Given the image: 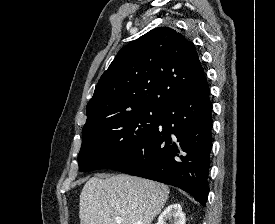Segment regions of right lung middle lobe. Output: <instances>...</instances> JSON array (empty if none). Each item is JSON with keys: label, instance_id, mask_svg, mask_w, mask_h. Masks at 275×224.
I'll use <instances>...</instances> for the list:
<instances>
[{"label": "right lung middle lobe", "instance_id": "obj_1", "mask_svg": "<svg viewBox=\"0 0 275 224\" xmlns=\"http://www.w3.org/2000/svg\"><path fill=\"white\" fill-rule=\"evenodd\" d=\"M162 113L163 109H140L83 129L79 170L88 172L108 168L152 133Z\"/></svg>", "mask_w": 275, "mask_h": 224}]
</instances>
